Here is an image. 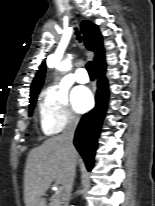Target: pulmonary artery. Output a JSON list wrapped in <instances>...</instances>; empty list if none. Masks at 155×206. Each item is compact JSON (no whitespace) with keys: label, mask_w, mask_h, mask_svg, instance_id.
Instances as JSON below:
<instances>
[{"label":"pulmonary artery","mask_w":155,"mask_h":206,"mask_svg":"<svg viewBox=\"0 0 155 206\" xmlns=\"http://www.w3.org/2000/svg\"><path fill=\"white\" fill-rule=\"evenodd\" d=\"M75 80L78 83H87L89 81V76L85 68H79L75 73Z\"/></svg>","instance_id":"e3ab8cb5"}]
</instances>
